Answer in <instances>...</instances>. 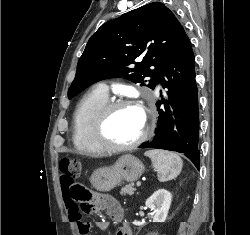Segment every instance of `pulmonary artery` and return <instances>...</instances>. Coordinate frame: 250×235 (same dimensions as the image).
Wrapping results in <instances>:
<instances>
[{"label":"pulmonary artery","instance_id":"1","mask_svg":"<svg viewBox=\"0 0 250 235\" xmlns=\"http://www.w3.org/2000/svg\"><path fill=\"white\" fill-rule=\"evenodd\" d=\"M98 87L103 92L108 93V87L105 84H100ZM159 88H161V85H159Z\"/></svg>","mask_w":250,"mask_h":235}]
</instances>
